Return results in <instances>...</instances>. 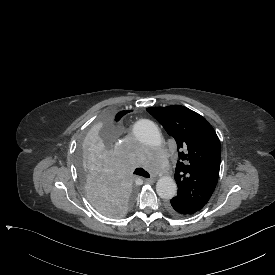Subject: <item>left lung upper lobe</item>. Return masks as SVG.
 Returning a JSON list of instances; mask_svg holds the SVG:
<instances>
[{
    "label": "left lung upper lobe",
    "instance_id": "obj_1",
    "mask_svg": "<svg viewBox=\"0 0 275 275\" xmlns=\"http://www.w3.org/2000/svg\"><path fill=\"white\" fill-rule=\"evenodd\" d=\"M147 111L177 142L179 161L173 200L199 211L210 199L219 176L221 145L213 127L198 113L180 105Z\"/></svg>",
    "mask_w": 275,
    "mask_h": 275
}]
</instances>
